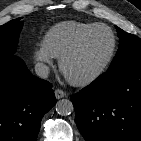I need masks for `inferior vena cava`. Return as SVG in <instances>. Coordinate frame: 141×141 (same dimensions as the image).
<instances>
[{
    "instance_id": "602c4592",
    "label": "inferior vena cava",
    "mask_w": 141,
    "mask_h": 141,
    "mask_svg": "<svg viewBox=\"0 0 141 141\" xmlns=\"http://www.w3.org/2000/svg\"><path fill=\"white\" fill-rule=\"evenodd\" d=\"M35 73L41 78H47L49 75V67L43 63L35 65Z\"/></svg>"
}]
</instances>
